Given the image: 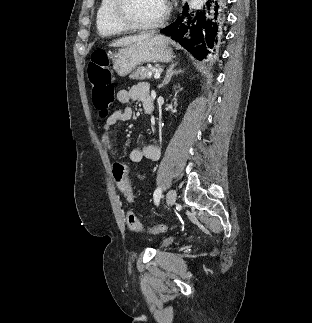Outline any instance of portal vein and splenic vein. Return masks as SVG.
Masks as SVG:
<instances>
[{"instance_id": "1", "label": "portal vein and splenic vein", "mask_w": 312, "mask_h": 323, "mask_svg": "<svg viewBox=\"0 0 312 323\" xmlns=\"http://www.w3.org/2000/svg\"><path fill=\"white\" fill-rule=\"evenodd\" d=\"M150 76H151V74H150ZM160 76H161L160 72H155V74H154L155 80H158V78H160Z\"/></svg>"}]
</instances>
